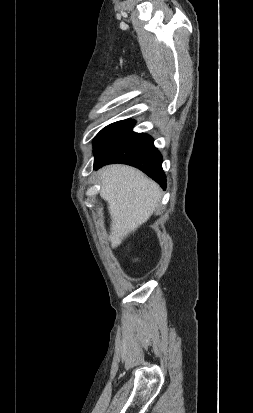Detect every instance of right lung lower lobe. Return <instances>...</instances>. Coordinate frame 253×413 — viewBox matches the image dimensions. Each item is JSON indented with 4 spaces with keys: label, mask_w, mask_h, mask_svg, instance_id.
Masks as SVG:
<instances>
[{
    "label": "right lung lower lobe",
    "mask_w": 253,
    "mask_h": 413,
    "mask_svg": "<svg viewBox=\"0 0 253 413\" xmlns=\"http://www.w3.org/2000/svg\"><path fill=\"white\" fill-rule=\"evenodd\" d=\"M124 163L139 168L162 188L166 177L162 170V156L153 144V139L144 133H134L103 158L94 162V169L106 164Z\"/></svg>",
    "instance_id": "obj_1"
}]
</instances>
